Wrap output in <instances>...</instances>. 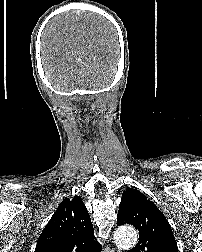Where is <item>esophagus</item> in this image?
Masks as SVG:
<instances>
[{
	"label": "esophagus",
	"mask_w": 202,
	"mask_h": 252,
	"mask_svg": "<svg viewBox=\"0 0 202 252\" xmlns=\"http://www.w3.org/2000/svg\"><path fill=\"white\" fill-rule=\"evenodd\" d=\"M112 252H120V250L112 249Z\"/></svg>",
	"instance_id": "obj_1"
}]
</instances>
